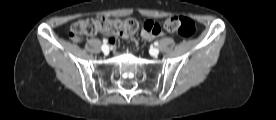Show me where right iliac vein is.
<instances>
[{
	"instance_id": "63e3f726",
	"label": "right iliac vein",
	"mask_w": 276,
	"mask_h": 120,
	"mask_svg": "<svg viewBox=\"0 0 276 120\" xmlns=\"http://www.w3.org/2000/svg\"><path fill=\"white\" fill-rule=\"evenodd\" d=\"M101 49H102L103 53H105V54H107L109 52V47L106 44L102 45Z\"/></svg>"
}]
</instances>
